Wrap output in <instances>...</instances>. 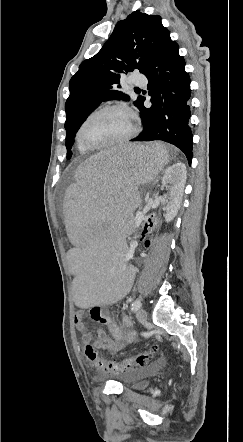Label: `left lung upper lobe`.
Listing matches in <instances>:
<instances>
[{
    "mask_svg": "<svg viewBox=\"0 0 243 442\" xmlns=\"http://www.w3.org/2000/svg\"><path fill=\"white\" fill-rule=\"evenodd\" d=\"M168 35L160 16L137 10L117 23L95 56L81 63L69 82L70 96L65 104L67 159L72 156L75 134L88 115L102 101L126 99L119 91L121 76L135 69L144 74ZM143 99L139 96L134 102L137 108Z\"/></svg>",
    "mask_w": 243,
    "mask_h": 442,
    "instance_id": "left-lung-upper-lobe-1",
    "label": "left lung upper lobe"
}]
</instances>
